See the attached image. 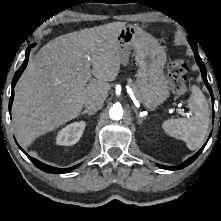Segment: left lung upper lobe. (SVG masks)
<instances>
[{
    "label": "left lung upper lobe",
    "instance_id": "left-lung-upper-lobe-1",
    "mask_svg": "<svg viewBox=\"0 0 221 221\" xmlns=\"http://www.w3.org/2000/svg\"><path fill=\"white\" fill-rule=\"evenodd\" d=\"M189 43L191 44L193 50L197 49V45L193 39L189 38Z\"/></svg>",
    "mask_w": 221,
    "mask_h": 221
}]
</instances>
